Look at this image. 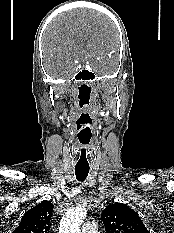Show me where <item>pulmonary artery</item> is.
<instances>
[{
  "label": "pulmonary artery",
  "instance_id": "obj_1",
  "mask_svg": "<svg viewBox=\"0 0 174 233\" xmlns=\"http://www.w3.org/2000/svg\"><path fill=\"white\" fill-rule=\"evenodd\" d=\"M82 233H97V226L93 222H86L82 226Z\"/></svg>",
  "mask_w": 174,
  "mask_h": 233
}]
</instances>
